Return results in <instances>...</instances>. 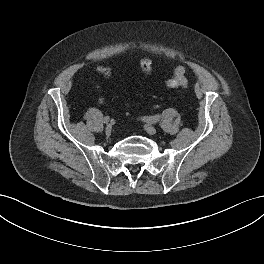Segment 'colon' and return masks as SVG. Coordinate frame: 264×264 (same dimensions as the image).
Listing matches in <instances>:
<instances>
[{
  "mask_svg": "<svg viewBox=\"0 0 264 264\" xmlns=\"http://www.w3.org/2000/svg\"><path fill=\"white\" fill-rule=\"evenodd\" d=\"M152 61L148 58H144L140 61V69L144 73H150L152 70ZM98 72L101 73L105 77H109L111 75V70L106 66H99L97 68ZM188 85V81L186 78V70L183 67H179L175 70L174 75L171 78L165 80V86L168 88H181L186 87Z\"/></svg>",
  "mask_w": 264,
  "mask_h": 264,
  "instance_id": "colon-1",
  "label": "colon"
}]
</instances>
